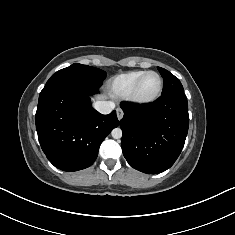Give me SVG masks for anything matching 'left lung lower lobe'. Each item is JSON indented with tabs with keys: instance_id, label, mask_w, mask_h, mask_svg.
I'll use <instances>...</instances> for the list:
<instances>
[{
	"instance_id": "obj_1",
	"label": "left lung lower lobe",
	"mask_w": 235,
	"mask_h": 235,
	"mask_svg": "<svg viewBox=\"0 0 235 235\" xmlns=\"http://www.w3.org/2000/svg\"><path fill=\"white\" fill-rule=\"evenodd\" d=\"M122 151L133 168L157 174L170 168L180 155L189 127L184 92L162 95L155 102H122Z\"/></svg>"
}]
</instances>
